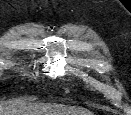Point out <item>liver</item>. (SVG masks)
<instances>
[{
  "instance_id": "liver-1",
  "label": "liver",
  "mask_w": 131,
  "mask_h": 115,
  "mask_svg": "<svg viewBox=\"0 0 131 115\" xmlns=\"http://www.w3.org/2000/svg\"><path fill=\"white\" fill-rule=\"evenodd\" d=\"M93 115L90 111L79 112L72 108L61 105H44L37 103H26L24 101H12L0 106V115Z\"/></svg>"
}]
</instances>
